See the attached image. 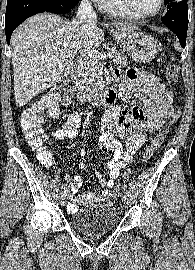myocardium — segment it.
Wrapping results in <instances>:
<instances>
[{"mask_svg":"<svg viewBox=\"0 0 195 270\" xmlns=\"http://www.w3.org/2000/svg\"><path fill=\"white\" fill-rule=\"evenodd\" d=\"M124 6L126 7V9L133 14L137 19H149V18H153L155 16H157L163 9L164 7V0H159V5L158 8L152 12V13H148V14H141L138 13L132 6L131 1L130 0H122Z\"/></svg>","mask_w":195,"mask_h":270,"instance_id":"1","label":"myocardium"}]
</instances>
